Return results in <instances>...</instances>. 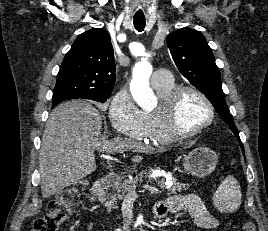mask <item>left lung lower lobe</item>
<instances>
[{"label": "left lung lower lobe", "mask_w": 268, "mask_h": 231, "mask_svg": "<svg viewBox=\"0 0 268 231\" xmlns=\"http://www.w3.org/2000/svg\"><path fill=\"white\" fill-rule=\"evenodd\" d=\"M240 147H241V149H242V151H243V153H244V148H243V144L240 142Z\"/></svg>", "instance_id": "1"}]
</instances>
